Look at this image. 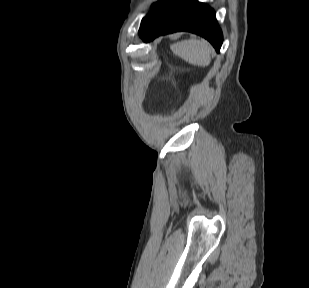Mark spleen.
<instances>
[{
    "label": "spleen",
    "mask_w": 309,
    "mask_h": 288,
    "mask_svg": "<svg viewBox=\"0 0 309 288\" xmlns=\"http://www.w3.org/2000/svg\"><path fill=\"white\" fill-rule=\"evenodd\" d=\"M173 53L194 66L206 67L211 62V46L204 40L189 39L171 46Z\"/></svg>",
    "instance_id": "3e777b00"
}]
</instances>
